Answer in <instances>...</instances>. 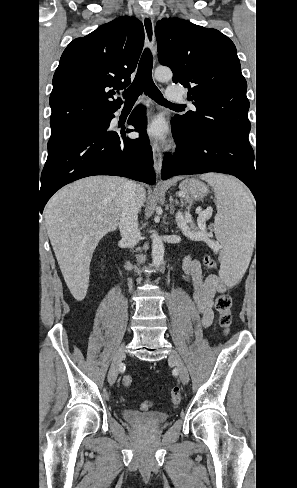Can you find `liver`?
Wrapping results in <instances>:
<instances>
[{
    "mask_svg": "<svg viewBox=\"0 0 297 488\" xmlns=\"http://www.w3.org/2000/svg\"><path fill=\"white\" fill-rule=\"evenodd\" d=\"M126 182L122 177H87L59 190L45 207L51 245L64 280L78 301L87 293L89 265L96 246L119 225ZM137 197L140 210L146 199L141 185H137Z\"/></svg>",
    "mask_w": 297,
    "mask_h": 488,
    "instance_id": "liver-1",
    "label": "liver"
}]
</instances>
